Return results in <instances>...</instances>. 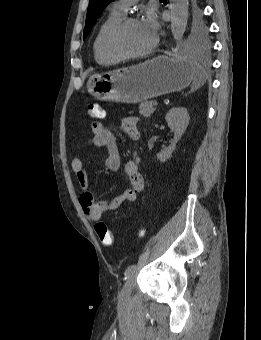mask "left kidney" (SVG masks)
Listing matches in <instances>:
<instances>
[{
	"label": "left kidney",
	"mask_w": 261,
	"mask_h": 340,
	"mask_svg": "<svg viewBox=\"0 0 261 340\" xmlns=\"http://www.w3.org/2000/svg\"><path fill=\"white\" fill-rule=\"evenodd\" d=\"M169 128L174 132V138L171 144L157 154L160 162H166L171 158L173 151L176 148L177 142L180 140L183 133L186 131L189 124V115L184 107H175L169 110L165 117Z\"/></svg>",
	"instance_id": "obj_1"
}]
</instances>
